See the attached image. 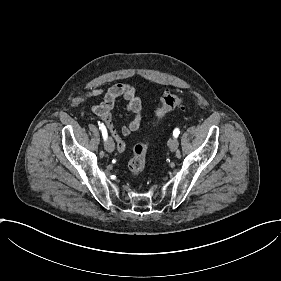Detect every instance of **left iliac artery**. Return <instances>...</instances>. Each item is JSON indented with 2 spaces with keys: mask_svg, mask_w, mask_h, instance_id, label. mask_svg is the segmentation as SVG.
Listing matches in <instances>:
<instances>
[{
  "mask_svg": "<svg viewBox=\"0 0 281 281\" xmlns=\"http://www.w3.org/2000/svg\"><path fill=\"white\" fill-rule=\"evenodd\" d=\"M179 133H180L179 129L176 128V129L173 131V136H174L175 138H177L178 135H179Z\"/></svg>",
  "mask_w": 281,
  "mask_h": 281,
  "instance_id": "obj_1",
  "label": "left iliac artery"
}]
</instances>
